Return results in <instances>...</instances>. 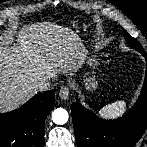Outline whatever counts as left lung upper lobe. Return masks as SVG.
Returning <instances> with one entry per match:
<instances>
[{"label":"left lung upper lobe","mask_w":147,"mask_h":147,"mask_svg":"<svg viewBox=\"0 0 147 147\" xmlns=\"http://www.w3.org/2000/svg\"><path fill=\"white\" fill-rule=\"evenodd\" d=\"M126 41L128 42V44L130 45V47L138 50L139 52L143 51V47L142 45L133 37L131 36H127L126 37Z\"/></svg>","instance_id":"obj_1"}]
</instances>
